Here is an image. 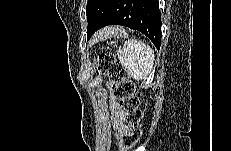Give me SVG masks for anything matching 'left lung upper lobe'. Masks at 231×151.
<instances>
[{
    "label": "left lung upper lobe",
    "mask_w": 231,
    "mask_h": 151,
    "mask_svg": "<svg viewBox=\"0 0 231 151\" xmlns=\"http://www.w3.org/2000/svg\"><path fill=\"white\" fill-rule=\"evenodd\" d=\"M110 2L111 0L87 1V6H86V14H87V21H88L87 32H90L97 26Z\"/></svg>",
    "instance_id": "obj_1"
}]
</instances>
